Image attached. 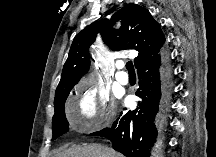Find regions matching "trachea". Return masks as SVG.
<instances>
[{"mask_svg":"<svg viewBox=\"0 0 216 157\" xmlns=\"http://www.w3.org/2000/svg\"><path fill=\"white\" fill-rule=\"evenodd\" d=\"M126 68H127L129 74H135V70H134V66H133L132 61H128L126 63Z\"/></svg>","mask_w":216,"mask_h":157,"instance_id":"1","label":"trachea"}]
</instances>
